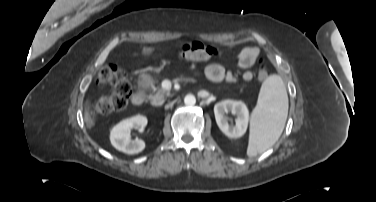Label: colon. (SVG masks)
Returning a JSON list of instances; mask_svg holds the SVG:
<instances>
[{
	"mask_svg": "<svg viewBox=\"0 0 376 202\" xmlns=\"http://www.w3.org/2000/svg\"><path fill=\"white\" fill-rule=\"evenodd\" d=\"M220 50L212 45L199 41L188 42L180 46L178 56L191 61H206L217 57ZM257 76L263 81L269 77L270 71L264 60H258ZM101 85H112L111 95L96 100L93 104L95 114H109L124 109L129 102L132 87L123 70L115 65L104 66L98 74Z\"/></svg>",
	"mask_w": 376,
	"mask_h": 202,
	"instance_id": "colon-1",
	"label": "colon"
}]
</instances>
